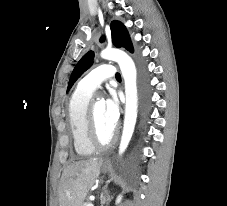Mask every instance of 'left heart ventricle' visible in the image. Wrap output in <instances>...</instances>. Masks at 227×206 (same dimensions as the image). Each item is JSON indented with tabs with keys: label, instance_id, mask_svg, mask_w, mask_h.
<instances>
[{
	"label": "left heart ventricle",
	"instance_id": "left-heart-ventricle-1",
	"mask_svg": "<svg viewBox=\"0 0 227 206\" xmlns=\"http://www.w3.org/2000/svg\"><path fill=\"white\" fill-rule=\"evenodd\" d=\"M94 109H95L98 135L102 141H108L114 129L110 126V124L106 120L104 101L97 100L95 102Z\"/></svg>",
	"mask_w": 227,
	"mask_h": 206
}]
</instances>
